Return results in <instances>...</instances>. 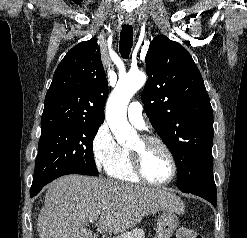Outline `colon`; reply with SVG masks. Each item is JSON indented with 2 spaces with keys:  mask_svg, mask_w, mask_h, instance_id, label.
Listing matches in <instances>:
<instances>
[{
  "mask_svg": "<svg viewBox=\"0 0 247 238\" xmlns=\"http://www.w3.org/2000/svg\"><path fill=\"white\" fill-rule=\"evenodd\" d=\"M176 238H203L197 231L181 227L176 231Z\"/></svg>",
  "mask_w": 247,
  "mask_h": 238,
  "instance_id": "obj_1",
  "label": "colon"
}]
</instances>
